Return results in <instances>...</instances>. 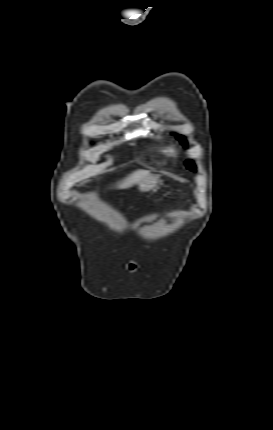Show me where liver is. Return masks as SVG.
<instances>
[{
    "label": "liver",
    "mask_w": 273,
    "mask_h": 430,
    "mask_svg": "<svg viewBox=\"0 0 273 430\" xmlns=\"http://www.w3.org/2000/svg\"><path fill=\"white\" fill-rule=\"evenodd\" d=\"M150 174V171L147 170H136L129 174L125 179H123L121 182L118 183L117 188L118 189H126L134 184H139L143 179L148 177Z\"/></svg>",
    "instance_id": "1"
}]
</instances>
